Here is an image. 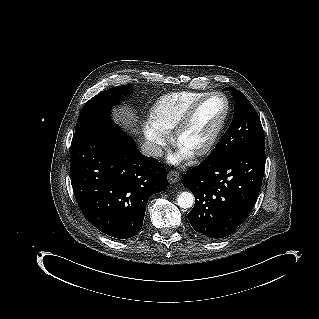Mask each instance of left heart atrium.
<instances>
[{"instance_id":"1","label":"left heart atrium","mask_w":319,"mask_h":319,"mask_svg":"<svg viewBox=\"0 0 319 319\" xmlns=\"http://www.w3.org/2000/svg\"><path fill=\"white\" fill-rule=\"evenodd\" d=\"M182 157H183L182 155L174 154L170 156L169 160L171 163H178Z\"/></svg>"}]
</instances>
